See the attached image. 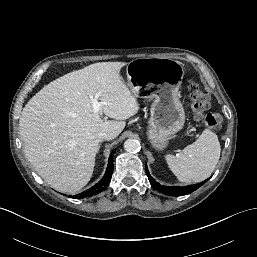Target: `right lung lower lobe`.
Wrapping results in <instances>:
<instances>
[{"instance_id":"right-lung-lower-lobe-1","label":"right lung lower lobe","mask_w":257,"mask_h":257,"mask_svg":"<svg viewBox=\"0 0 257 257\" xmlns=\"http://www.w3.org/2000/svg\"><path fill=\"white\" fill-rule=\"evenodd\" d=\"M114 152H115V150H113L110 154L108 167H107L106 173L103 176V178L97 184H95L93 187H91L90 189L78 194L75 198L79 199V198L89 197L92 195H97L98 193L102 192L108 186V184L111 180V177H112V172H113Z\"/></svg>"}]
</instances>
